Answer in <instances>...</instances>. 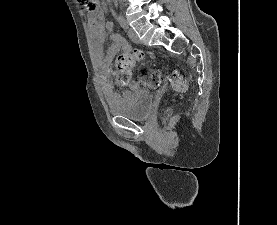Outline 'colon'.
Returning <instances> with one entry per match:
<instances>
[{"label":"colon","instance_id":"1","mask_svg":"<svg viewBox=\"0 0 277 225\" xmlns=\"http://www.w3.org/2000/svg\"><path fill=\"white\" fill-rule=\"evenodd\" d=\"M86 10L91 11L93 4L90 0H82ZM144 53L141 50H135L132 53H122L117 56L115 60V75L116 81L120 86H126L131 79V71L136 61L143 59ZM148 85L151 88H156L164 80V75L160 71H151L147 74ZM173 85L176 89L181 91H187L188 85L183 77L177 73H172Z\"/></svg>","mask_w":277,"mask_h":225}]
</instances>
